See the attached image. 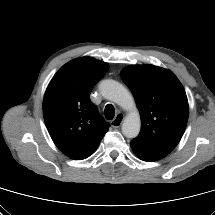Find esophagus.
Segmentation results:
<instances>
[{
	"label": "esophagus",
	"instance_id": "esophagus-1",
	"mask_svg": "<svg viewBox=\"0 0 215 215\" xmlns=\"http://www.w3.org/2000/svg\"><path fill=\"white\" fill-rule=\"evenodd\" d=\"M124 121V115L122 113H118L116 117L111 121V126L114 128H118Z\"/></svg>",
	"mask_w": 215,
	"mask_h": 215
}]
</instances>
